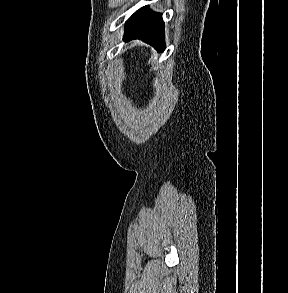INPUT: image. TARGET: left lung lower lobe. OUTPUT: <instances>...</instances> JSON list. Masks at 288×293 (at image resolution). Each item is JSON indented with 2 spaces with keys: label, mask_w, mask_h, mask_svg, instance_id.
I'll return each mask as SVG.
<instances>
[{
  "label": "left lung lower lobe",
  "mask_w": 288,
  "mask_h": 293,
  "mask_svg": "<svg viewBox=\"0 0 288 293\" xmlns=\"http://www.w3.org/2000/svg\"><path fill=\"white\" fill-rule=\"evenodd\" d=\"M141 39L159 52L165 50L164 22L160 13L152 12L148 6L140 8L127 21L123 40Z\"/></svg>",
  "instance_id": "0a47b994"
}]
</instances>
